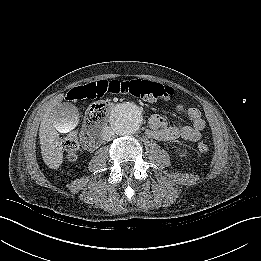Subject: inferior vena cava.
<instances>
[{"label": "inferior vena cava", "instance_id": "inferior-vena-cava-1", "mask_svg": "<svg viewBox=\"0 0 261 261\" xmlns=\"http://www.w3.org/2000/svg\"><path fill=\"white\" fill-rule=\"evenodd\" d=\"M102 137L106 141H111L115 138V133L110 127H105L102 131Z\"/></svg>", "mask_w": 261, "mask_h": 261}]
</instances>
